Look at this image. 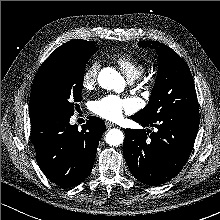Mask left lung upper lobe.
I'll return each instance as SVG.
<instances>
[{
	"mask_svg": "<svg viewBox=\"0 0 220 220\" xmlns=\"http://www.w3.org/2000/svg\"><path fill=\"white\" fill-rule=\"evenodd\" d=\"M139 47L158 52V74L147 106L136 116L154 120L165 114L199 115L191 72L186 62L170 47L157 41H140Z\"/></svg>",
	"mask_w": 220,
	"mask_h": 220,
	"instance_id": "left-lung-upper-lobe-1",
	"label": "left lung upper lobe"
}]
</instances>
